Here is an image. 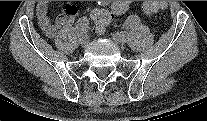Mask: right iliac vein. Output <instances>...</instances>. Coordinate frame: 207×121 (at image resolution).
I'll return each instance as SVG.
<instances>
[{
	"label": "right iliac vein",
	"mask_w": 207,
	"mask_h": 121,
	"mask_svg": "<svg viewBox=\"0 0 207 121\" xmlns=\"http://www.w3.org/2000/svg\"><path fill=\"white\" fill-rule=\"evenodd\" d=\"M80 44L82 47H86L89 44V38L87 35H83L82 39L80 40Z\"/></svg>",
	"instance_id": "1"
}]
</instances>
